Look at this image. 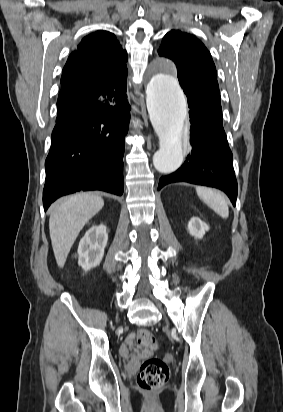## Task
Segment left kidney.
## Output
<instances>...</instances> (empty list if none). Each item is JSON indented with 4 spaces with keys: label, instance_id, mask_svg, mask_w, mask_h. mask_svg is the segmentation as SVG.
<instances>
[{
    "label": "left kidney",
    "instance_id": "1",
    "mask_svg": "<svg viewBox=\"0 0 283 412\" xmlns=\"http://www.w3.org/2000/svg\"><path fill=\"white\" fill-rule=\"evenodd\" d=\"M188 230L192 236L197 239H201L205 232L209 230V227L199 218L193 217L188 223Z\"/></svg>",
    "mask_w": 283,
    "mask_h": 412
}]
</instances>
